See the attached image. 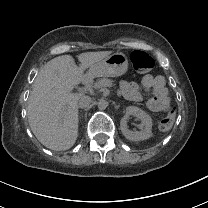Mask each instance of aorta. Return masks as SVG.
I'll use <instances>...</instances> for the list:
<instances>
[{
  "label": "aorta",
  "mask_w": 208,
  "mask_h": 208,
  "mask_svg": "<svg viewBox=\"0 0 208 208\" xmlns=\"http://www.w3.org/2000/svg\"><path fill=\"white\" fill-rule=\"evenodd\" d=\"M105 105H106V102H105L104 100H101V101L99 102L98 108H99L100 110H103V109L105 108Z\"/></svg>",
  "instance_id": "aorta-1"
}]
</instances>
